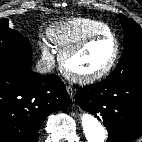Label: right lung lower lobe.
Here are the masks:
<instances>
[{
	"label": "right lung lower lobe",
	"mask_w": 142,
	"mask_h": 142,
	"mask_svg": "<svg viewBox=\"0 0 142 142\" xmlns=\"http://www.w3.org/2000/svg\"><path fill=\"white\" fill-rule=\"evenodd\" d=\"M69 103L58 76L0 66V142H37L47 116L66 109Z\"/></svg>",
	"instance_id": "1"
}]
</instances>
